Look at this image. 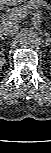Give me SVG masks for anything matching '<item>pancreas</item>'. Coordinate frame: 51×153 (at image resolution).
Listing matches in <instances>:
<instances>
[{"label":"pancreas","mask_w":51,"mask_h":153,"mask_svg":"<svg viewBox=\"0 0 51 153\" xmlns=\"http://www.w3.org/2000/svg\"><path fill=\"white\" fill-rule=\"evenodd\" d=\"M39 8H50V4L47 3L45 0H29L27 3L16 7L12 10V12H17L19 10H23L26 11L27 13H29L30 10H37Z\"/></svg>","instance_id":"obj_1"}]
</instances>
